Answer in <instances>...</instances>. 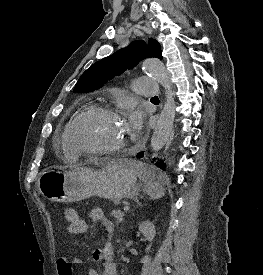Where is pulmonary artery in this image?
I'll list each match as a JSON object with an SVG mask.
<instances>
[{
    "label": "pulmonary artery",
    "instance_id": "1",
    "mask_svg": "<svg viewBox=\"0 0 263 275\" xmlns=\"http://www.w3.org/2000/svg\"><path fill=\"white\" fill-rule=\"evenodd\" d=\"M133 91L138 95L153 96L158 92V85L152 78L140 77L133 83Z\"/></svg>",
    "mask_w": 263,
    "mask_h": 275
}]
</instances>
